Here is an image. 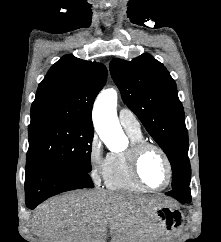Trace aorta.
Instances as JSON below:
<instances>
[{
	"instance_id": "aorta-1",
	"label": "aorta",
	"mask_w": 221,
	"mask_h": 242,
	"mask_svg": "<svg viewBox=\"0 0 221 242\" xmlns=\"http://www.w3.org/2000/svg\"><path fill=\"white\" fill-rule=\"evenodd\" d=\"M116 107V90L106 89L98 95L93 108L95 130L111 149L115 148L116 143L125 140V135L117 118Z\"/></svg>"
}]
</instances>
